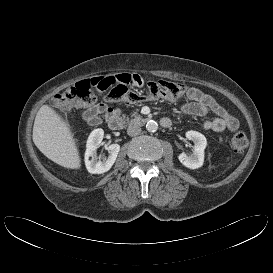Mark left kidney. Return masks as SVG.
I'll return each instance as SVG.
<instances>
[{"label": "left kidney", "mask_w": 273, "mask_h": 273, "mask_svg": "<svg viewBox=\"0 0 273 273\" xmlns=\"http://www.w3.org/2000/svg\"><path fill=\"white\" fill-rule=\"evenodd\" d=\"M186 138L194 142L193 154L188 156L185 153H181L178 159L187 168H199L204 162V150L207 145V140L203 134L192 130L186 132Z\"/></svg>", "instance_id": "1"}]
</instances>
